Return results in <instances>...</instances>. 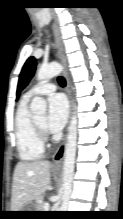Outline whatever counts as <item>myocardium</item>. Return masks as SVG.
<instances>
[{"label":"myocardium","mask_w":123,"mask_h":219,"mask_svg":"<svg viewBox=\"0 0 123 219\" xmlns=\"http://www.w3.org/2000/svg\"><path fill=\"white\" fill-rule=\"evenodd\" d=\"M35 126H36L41 138H44L46 135L45 127L40 125L37 121H35Z\"/></svg>","instance_id":"myocardium-1"}]
</instances>
